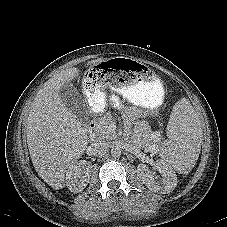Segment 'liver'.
I'll list each match as a JSON object with an SVG mask.
<instances>
[{"instance_id": "1", "label": "liver", "mask_w": 227, "mask_h": 227, "mask_svg": "<svg viewBox=\"0 0 227 227\" xmlns=\"http://www.w3.org/2000/svg\"><path fill=\"white\" fill-rule=\"evenodd\" d=\"M78 75L79 69L71 67L50 78L32 102L26 121L33 166L44 182L56 190L65 186V173L88 144L87 129L59 96L61 87Z\"/></svg>"}]
</instances>
